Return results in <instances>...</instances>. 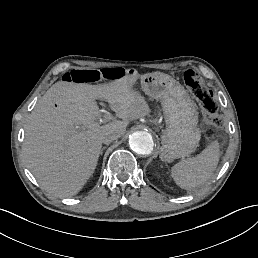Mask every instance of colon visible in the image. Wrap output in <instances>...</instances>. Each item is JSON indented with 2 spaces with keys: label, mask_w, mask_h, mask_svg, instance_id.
I'll use <instances>...</instances> for the list:
<instances>
[{
  "label": "colon",
  "mask_w": 258,
  "mask_h": 258,
  "mask_svg": "<svg viewBox=\"0 0 258 258\" xmlns=\"http://www.w3.org/2000/svg\"><path fill=\"white\" fill-rule=\"evenodd\" d=\"M121 76V68L74 69L68 71L63 79L70 83L94 84L100 81H113ZM184 84L193 92L201 107L208 113L217 111L213 92L205 86L200 75L192 70H186L182 75Z\"/></svg>",
  "instance_id": "colon-1"
}]
</instances>
